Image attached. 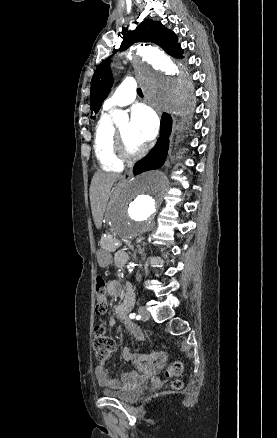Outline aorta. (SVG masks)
Here are the masks:
<instances>
[{
  "label": "aorta",
  "instance_id": "1",
  "mask_svg": "<svg viewBox=\"0 0 277 438\" xmlns=\"http://www.w3.org/2000/svg\"><path fill=\"white\" fill-rule=\"evenodd\" d=\"M134 67L145 95L161 110L186 115L193 102L194 86L190 75L166 54L151 46L136 48ZM116 123L126 122L127 112H112ZM168 187L163 172L143 173L130 180L115 195L109 210L113 231L123 240L135 239L155 223ZM132 271L133 263H129Z\"/></svg>",
  "mask_w": 277,
  "mask_h": 438
}]
</instances>
